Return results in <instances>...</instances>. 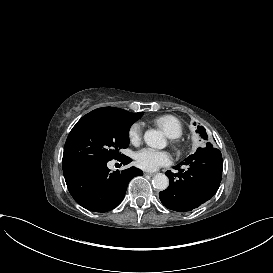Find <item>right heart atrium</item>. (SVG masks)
I'll list each match as a JSON object with an SVG mask.
<instances>
[{
	"instance_id": "right-heart-atrium-1",
	"label": "right heart atrium",
	"mask_w": 273,
	"mask_h": 273,
	"mask_svg": "<svg viewBox=\"0 0 273 273\" xmlns=\"http://www.w3.org/2000/svg\"><path fill=\"white\" fill-rule=\"evenodd\" d=\"M129 140L133 144H139L142 138V129L138 123L131 125L128 131Z\"/></svg>"
}]
</instances>
